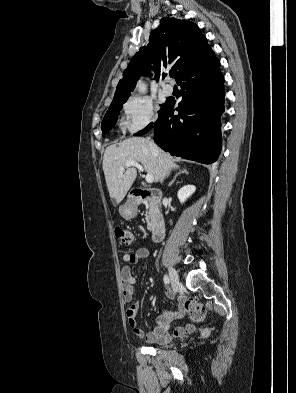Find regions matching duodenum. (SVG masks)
<instances>
[{"label":"duodenum","mask_w":296,"mask_h":393,"mask_svg":"<svg viewBox=\"0 0 296 393\" xmlns=\"http://www.w3.org/2000/svg\"><path fill=\"white\" fill-rule=\"evenodd\" d=\"M162 199V193L158 189H147V188H136L131 196L132 202H140L144 200H150L151 202L157 204ZM166 236V223L163 215L159 210L155 212L153 229H152V239L155 242H161Z\"/></svg>","instance_id":"1"}]
</instances>
